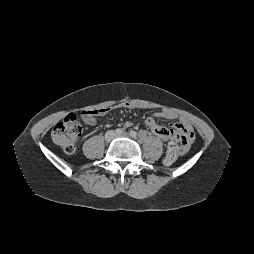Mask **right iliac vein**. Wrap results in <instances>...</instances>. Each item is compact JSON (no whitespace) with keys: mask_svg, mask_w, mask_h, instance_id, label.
<instances>
[{"mask_svg":"<svg viewBox=\"0 0 254 254\" xmlns=\"http://www.w3.org/2000/svg\"><path fill=\"white\" fill-rule=\"evenodd\" d=\"M116 136L114 131H108L105 135L107 141H111Z\"/></svg>","mask_w":254,"mask_h":254,"instance_id":"obj_1","label":"right iliac vein"}]
</instances>
